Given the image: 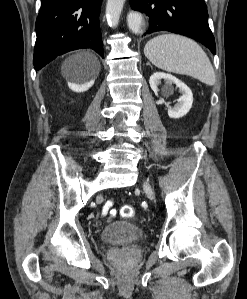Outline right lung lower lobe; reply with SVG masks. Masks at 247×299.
<instances>
[{
	"label": "right lung lower lobe",
	"instance_id": "obj_1",
	"mask_svg": "<svg viewBox=\"0 0 247 299\" xmlns=\"http://www.w3.org/2000/svg\"><path fill=\"white\" fill-rule=\"evenodd\" d=\"M101 3L102 0H41L36 20L35 70L58 55L81 48H92L103 57Z\"/></svg>",
	"mask_w": 247,
	"mask_h": 299
}]
</instances>
